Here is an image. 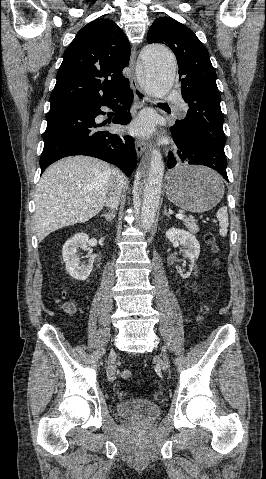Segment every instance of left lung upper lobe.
<instances>
[{"label": "left lung upper lobe", "mask_w": 266, "mask_h": 479, "mask_svg": "<svg viewBox=\"0 0 266 479\" xmlns=\"http://www.w3.org/2000/svg\"><path fill=\"white\" fill-rule=\"evenodd\" d=\"M147 41L166 44L177 58L181 93L189 110L175 128L202 161L226 160L221 96L208 50L191 29L170 17L153 22Z\"/></svg>", "instance_id": "left-lung-upper-lobe-1"}]
</instances>
